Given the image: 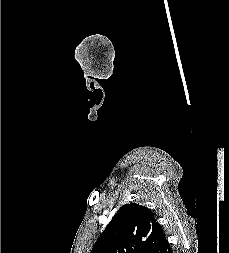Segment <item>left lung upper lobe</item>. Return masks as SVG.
<instances>
[{"instance_id": "5c2ea615", "label": "left lung upper lobe", "mask_w": 229, "mask_h": 253, "mask_svg": "<svg viewBox=\"0 0 229 253\" xmlns=\"http://www.w3.org/2000/svg\"><path fill=\"white\" fill-rule=\"evenodd\" d=\"M165 238L162 227L145 206L123 205L90 253H155Z\"/></svg>"}]
</instances>
